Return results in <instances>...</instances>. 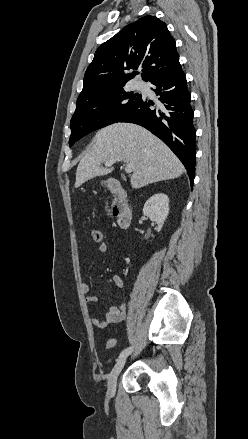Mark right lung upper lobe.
Instances as JSON below:
<instances>
[{
	"label": "right lung upper lobe",
	"mask_w": 248,
	"mask_h": 439,
	"mask_svg": "<svg viewBox=\"0 0 248 439\" xmlns=\"http://www.w3.org/2000/svg\"><path fill=\"white\" fill-rule=\"evenodd\" d=\"M176 42L164 22L145 16L127 25L103 43L88 66L77 107L123 88L134 77L130 69L142 67L143 80L150 81L179 66Z\"/></svg>",
	"instance_id": "obj_1"
}]
</instances>
